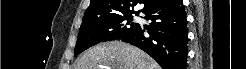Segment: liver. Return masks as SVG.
I'll list each match as a JSON object with an SVG mask.
<instances>
[{"label": "liver", "mask_w": 246, "mask_h": 69, "mask_svg": "<svg viewBox=\"0 0 246 69\" xmlns=\"http://www.w3.org/2000/svg\"><path fill=\"white\" fill-rule=\"evenodd\" d=\"M160 69L145 52L121 41L100 43L88 49L75 69Z\"/></svg>", "instance_id": "obj_1"}]
</instances>
